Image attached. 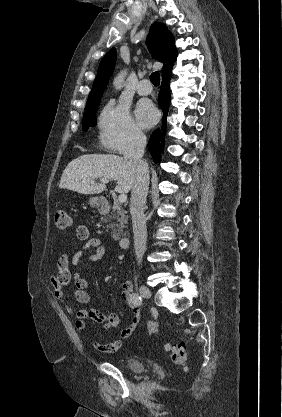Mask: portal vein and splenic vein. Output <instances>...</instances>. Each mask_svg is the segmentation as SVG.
I'll return each instance as SVG.
<instances>
[{
	"label": "portal vein and splenic vein",
	"instance_id": "1",
	"mask_svg": "<svg viewBox=\"0 0 282 417\" xmlns=\"http://www.w3.org/2000/svg\"><path fill=\"white\" fill-rule=\"evenodd\" d=\"M101 182H109V180H106V178H100ZM119 202H126L127 200V194L126 192H123V194H119L118 196Z\"/></svg>",
	"mask_w": 282,
	"mask_h": 417
}]
</instances>
